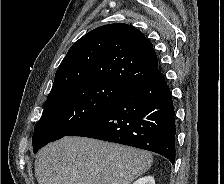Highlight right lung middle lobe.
Masks as SVG:
<instances>
[{
	"label": "right lung middle lobe",
	"mask_w": 224,
	"mask_h": 184,
	"mask_svg": "<svg viewBox=\"0 0 224 184\" xmlns=\"http://www.w3.org/2000/svg\"><path fill=\"white\" fill-rule=\"evenodd\" d=\"M127 88L111 81H86L47 98L43 114L34 127V153L90 122Z\"/></svg>",
	"instance_id": "1"
}]
</instances>
